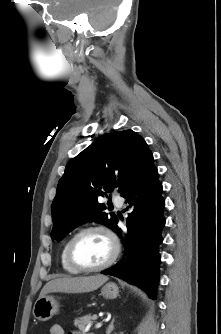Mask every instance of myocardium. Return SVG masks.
I'll use <instances>...</instances> for the list:
<instances>
[{
	"label": "myocardium",
	"mask_w": 221,
	"mask_h": 334,
	"mask_svg": "<svg viewBox=\"0 0 221 334\" xmlns=\"http://www.w3.org/2000/svg\"><path fill=\"white\" fill-rule=\"evenodd\" d=\"M90 231L104 232L109 237V239L111 240L112 253H111L110 257L103 264L98 265V266L88 267V266H82L75 261V259L73 257V246H74V243L76 242V240L81 235H83L86 232H90ZM119 252H120V242H119V239H118L117 235L115 234V232L106 225L92 224V225H88V226H85V227L81 228L70 238V240L67 244L66 257H67L68 263L78 271L97 272V271L105 270L108 267H110L115 262V260L117 259L118 255H119Z\"/></svg>",
	"instance_id": "1"
}]
</instances>
